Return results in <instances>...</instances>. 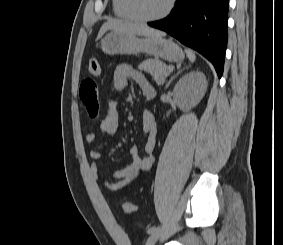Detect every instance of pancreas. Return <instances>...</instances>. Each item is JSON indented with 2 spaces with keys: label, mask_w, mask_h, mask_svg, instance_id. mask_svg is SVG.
<instances>
[{
  "label": "pancreas",
  "mask_w": 283,
  "mask_h": 245,
  "mask_svg": "<svg viewBox=\"0 0 283 245\" xmlns=\"http://www.w3.org/2000/svg\"><path fill=\"white\" fill-rule=\"evenodd\" d=\"M170 66L163 64L158 59H146L139 66V70L150 73L158 85H162L169 72Z\"/></svg>",
  "instance_id": "1"
}]
</instances>
